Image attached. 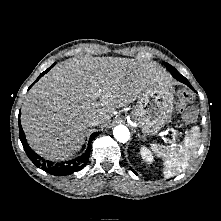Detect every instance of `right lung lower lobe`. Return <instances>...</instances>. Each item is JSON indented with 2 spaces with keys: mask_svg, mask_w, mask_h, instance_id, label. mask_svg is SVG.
Here are the masks:
<instances>
[{
  "mask_svg": "<svg viewBox=\"0 0 221 221\" xmlns=\"http://www.w3.org/2000/svg\"><path fill=\"white\" fill-rule=\"evenodd\" d=\"M54 65V64H53ZM52 65V66H53ZM51 66V67H52ZM48 68L46 71L40 74V76L37 78L35 82H37L45 73H47L50 69ZM34 82V83H35ZM33 83V84H34ZM32 84V85H33ZM32 85L29 87V89L32 87ZM18 123H19V136L21 143L23 145V148L27 154V156L30 158V160L34 163L35 166L42 168L44 171L48 172L49 174L55 175V176H66L68 174H71L73 172L81 170L85 164L87 163L90 152H91V142L92 140L99 134V132H95L90 136L88 148L80 157L73 159L66 163H53L49 160H45L41 158L38 154H36L28 145L24 131L21 127L20 123V115L18 117Z\"/></svg>",
  "mask_w": 221,
  "mask_h": 221,
  "instance_id": "right-lung-lower-lobe-1",
  "label": "right lung lower lobe"
}]
</instances>
